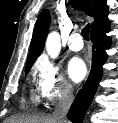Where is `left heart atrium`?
Returning a JSON list of instances; mask_svg holds the SVG:
<instances>
[{"instance_id": "39dd6f15", "label": "left heart atrium", "mask_w": 118, "mask_h": 123, "mask_svg": "<svg viewBox=\"0 0 118 123\" xmlns=\"http://www.w3.org/2000/svg\"><path fill=\"white\" fill-rule=\"evenodd\" d=\"M67 73L73 82L78 83L82 81L87 74L84 61L79 57L72 58L67 64Z\"/></svg>"}]
</instances>
